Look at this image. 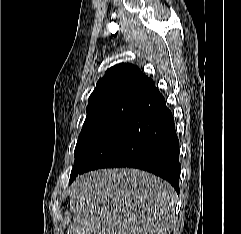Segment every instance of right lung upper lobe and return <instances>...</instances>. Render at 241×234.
<instances>
[{
	"instance_id": "cb5924a9",
	"label": "right lung upper lobe",
	"mask_w": 241,
	"mask_h": 234,
	"mask_svg": "<svg viewBox=\"0 0 241 234\" xmlns=\"http://www.w3.org/2000/svg\"><path fill=\"white\" fill-rule=\"evenodd\" d=\"M153 80L137 66L121 63L108 69L89 97V107L110 104L143 102L157 92Z\"/></svg>"
}]
</instances>
